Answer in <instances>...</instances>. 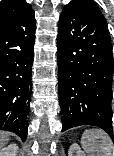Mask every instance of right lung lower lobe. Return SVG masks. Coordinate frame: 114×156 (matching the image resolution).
I'll return each instance as SVG.
<instances>
[{"instance_id":"right-lung-lower-lobe-1","label":"right lung lower lobe","mask_w":114,"mask_h":156,"mask_svg":"<svg viewBox=\"0 0 114 156\" xmlns=\"http://www.w3.org/2000/svg\"><path fill=\"white\" fill-rule=\"evenodd\" d=\"M35 29L32 9L0 25V129L23 140L28 133Z\"/></svg>"}]
</instances>
